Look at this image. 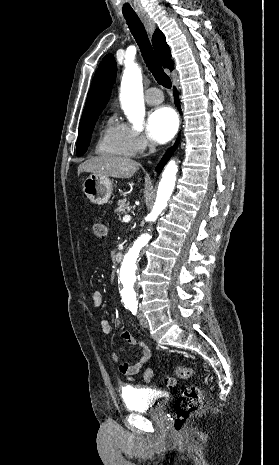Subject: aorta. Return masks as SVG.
<instances>
[{
    "label": "aorta",
    "mask_w": 279,
    "mask_h": 465,
    "mask_svg": "<svg viewBox=\"0 0 279 465\" xmlns=\"http://www.w3.org/2000/svg\"><path fill=\"white\" fill-rule=\"evenodd\" d=\"M120 101L125 114L134 128L141 130L145 116V107L143 100L142 73L137 65L132 64L125 67L121 81ZM177 171L178 166L174 160H171L164 168L157 191L156 201L151 213L148 215L150 221L154 222L166 208L175 187ZM149 240V234H142L124 256L120 271V293L124 303L136 301L138 259Z\"/></svg>",
    "instance_id": "aorta-1"
}]
</instances>
